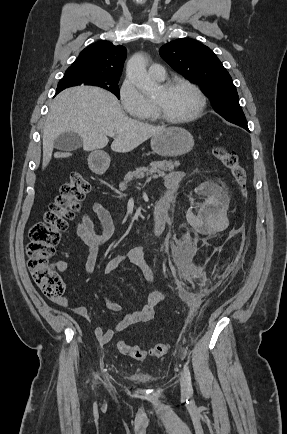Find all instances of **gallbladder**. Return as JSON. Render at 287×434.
<instances>
[{"instance_id": "1", "label": "gallbladder", "mask_w": 287, "mask_h": 434, "mask_svg": "<svg viewBox=\"0 0 287 434\" xmlns=\"http://www.w3.org/2000/svg\"><path fill=\"white\" fill-rule=\"evenodd\" d=\"M82 144V138L75 132L62 133L54 140V147L65 152L77 150Z\"/></svg>"}]
</instances>
